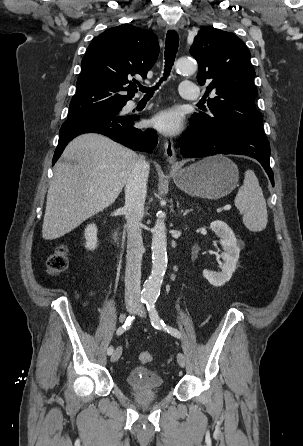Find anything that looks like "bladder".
Returning <instances> with one entry per match:
<instances>
[{
  "mask_svg": "<svg viewBox=\"0 0 303 446\" xmlns=\"http://www.w3.org/2000/svg\"><path fill=\"white\" fill-rule=\"evenodd\" d=\"M125 382L132 390L158 391L164 386V379L160 374L143 367L131 369L126 375Z\"/></svg>",
  "mask_w": 303,
  "mask_h": 446,
  "instance_id": "31cf9c89",
  "label": "bladder"
}]
</instances>
